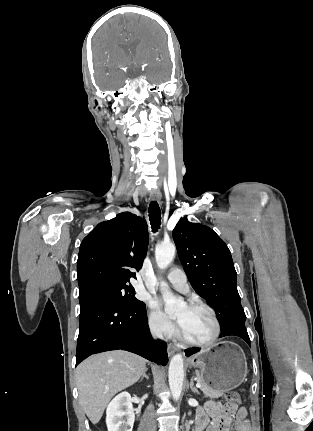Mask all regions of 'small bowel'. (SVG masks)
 Here are the masks:
<instances>
[{
	"mask_svg": "<svg viewBox=\"0 0 313 431\" xmlns=\"http://www.w3.org/2000/svg\"><path fill=\"white\" fill-rule=\"evenodd\" d=\"M247 415L244 407L232 406L228 410L220 402L209 401L197 414L196 431H230L233 417L236 418L235 431H253Z\"/></svg>",
	"mask_w": 313,
	"mask_h": 431,
	"instance_id": "small-bowel-1",
	"label": "small bowel"
}]
</instances>
